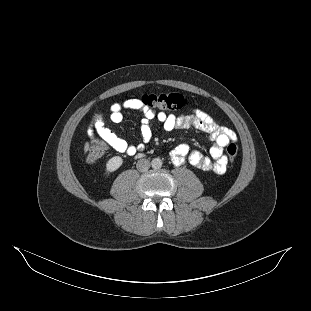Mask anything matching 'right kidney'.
Returning <instances> with one entry per match:
<instances>
[{
  "instance_id": "obj_1",
  "label": "right kidney",
  "mask_w": 311,
  "mask_h": 311,
  "mask_svg": "<svg viewBox=\"0 0 311 311\" xmlns=\"http://www.w3.org/2000/svg\"><path fill=\"white\" fill-rule=\"evenodd\" d=\"M122 163V159L120 157H114L112 158L108 164H107V169L112 171L117 169Z\"/></svg>"
}]
</instances>
